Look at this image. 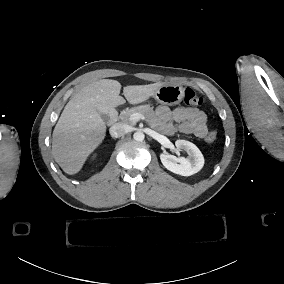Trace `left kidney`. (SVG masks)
I'll use <instances>...</instances> for the list:
<instances>
[{"label": "left kidney", "instance_id": "1", "mask_svg": "<svg viewBox=\"0 0 284 284\" xmlns=\"http://www.w3.org/2000/svg\"><path fill=\"white\" fill-rule=\"evenodd\" d=\"M175 146L187 152L188 157L177 158L170 154H161L162 164L169 171L182 176H190L199 172L204 166V157L198 147L186 140H177Z\"/></svg>", "mask_w": 284, "mask_h": 284}]
</instances>
